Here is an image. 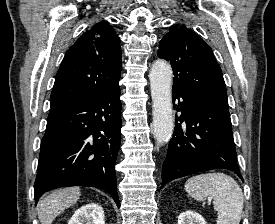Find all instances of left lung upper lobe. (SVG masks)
<instances>
[{
    "label": "left lung upper lobe",
    "instance_id": "left-lung-upper-lobe-1",
    "mask_svg": "<svg viewBox=\"0 0 275 224\" xmlns=\"http://www.w3.org/2000/svg\"><path fill=\"white\" fill-rule=\"evenodd\" d=\"M158 56L171 63L173 90L228 108L226 87L211 48L184 25H172L159 42Z\"/></svg>",
    "mask_w": 275,
    "mask_h": 224
}]
</instances>
